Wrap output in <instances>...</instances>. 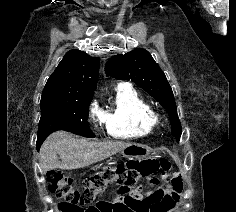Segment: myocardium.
I'll return each mask as SVG.
<instances>
[{"label":"myocardium","mask_w":236,"mask_h":212,"mask_svg":"<svg viewBox=\"0 0 236 212\" xmlns=\"http://www.w3.org/2000/svg\"><path fill=\"white\" fill-rule=\"evenodd\" d=\"M150 118L154 124L160 121V114L154 110L151 111Z\"/></svg>","instance_id":"myocardium-1"}]
</instances>
